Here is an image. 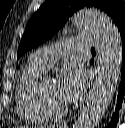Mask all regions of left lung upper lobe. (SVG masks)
<instances>
[{
	"instance_id": "1",
	"label": "left lung upper lobe",
	"mask_w": 125,
	"mask_h": 128,
	"mask_svg": "<svg viewBox=\"0 0 125 128\" xmlns=\"http://www.w3.org/2000/svg\"><path fill=\"white\" fill-rule=\"evenodd\" d=\"M96 7L107 13L118 27L125 21L124 0H51L41 5L29 20L18 47L17 57L51 38L67 18L83 7Z\"/></svg>"
}]
</instances>
